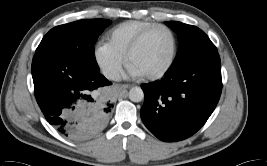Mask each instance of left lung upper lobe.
Here are the masks:
<instances>
[{
	"mask_svg": "<svg viewBox=\"0 0 267 166\" xmlns=\"http://www.w3.org/2000/svg\"><path fill=\"white\" fill-rule=\"evenodd\" d=\"M166 24L177 33L179 39V50L174 66L217 53L215 45L199 28L175 21L166 22Z\"/></svg>",
	"mask_w": 267,
	"mask_h": 166,
	"instance_id": "obj_1",
	"label": "left lung upper lobe"
}]
</instances>
